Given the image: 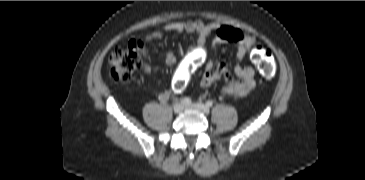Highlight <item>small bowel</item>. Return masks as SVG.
Listing matches in <instances>:
<instances>
[{
	"label": "small bowel",
	"mask_w": 365,
	"mask_h": 180,
	"mask_svg": "<svg viewBox=\"0 0 365 180\" xmlns=\"http://www.w3.org/2000/svg\"><path fill=\"white\" fill-rule=\"evenodd\" d=\"M189 32L196 35V42L189 49L188 55L177 70L173 81L183 83L184 78L196 68H202L200 85L208 88L220 80L225 81L222 92L233 98H241L249 94L255 87V71L251 66L243 64L245 58L250 57L252 51L256 48L257 39L250 33H244L241 30L226 24L207 23L201 20H190L170 23L162 29L148 33L145 41H152L163 38L169 32ZM214 34L213 47L219 44H228L234 47L236 64L231 71L225 62H216L209 57L206 41L210 34ZM167 66H173L176 61V55L169 51L164 56ZM145 71L153 75L158 72V68L145 66ZM170 98L169 92L160 94V100L166 102Z\"/></svg>",
	"instance_id": "obj_1"
}]
</instances>
